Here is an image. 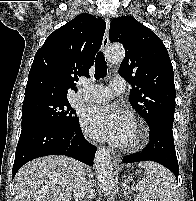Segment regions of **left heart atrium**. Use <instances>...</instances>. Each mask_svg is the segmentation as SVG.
<instances>
[{
	"label": "left heart atrium",
	"instance_id": "obj_1",
	"mask_svg": "<svg viewBox=\"0 0 196 201\" xmlns=\"http://www.w3.org/2000/svg\"><path fill=\"white\" fill-rule=\"evenodd\" d=\"M85 131L98 140L125 145L134 128L132 115L114 105H92L82 114Z\"/></svg>",
	"mask_w": 196,
	"mask_h": 201
}]
</instances>
